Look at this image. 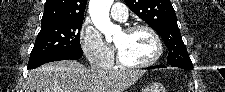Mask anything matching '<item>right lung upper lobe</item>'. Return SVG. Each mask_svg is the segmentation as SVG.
I'll list each match as a JSON object with an SVG mask.
<instances>
[{
	"label": "right lung upper lobe",
	"mask_w": 225,
	"mask_h": 92,
	"mask_svg": "<svg viewBox=\"0 0 225 92\" xmlns=\"http://www.w3.org/2000/svg\"><path fill=\"white\" fill-rule=\"evenodd\" d=\"M85 8L86 0H47L41 24L83 22Z\"/></svg>",
	"instance_id": "cb5924a9"
}]
</instances>
